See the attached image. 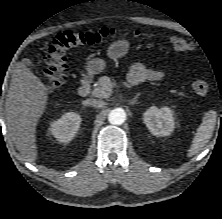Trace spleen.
I'll list each match as a JSON object with an SVG mask.
<instances>
[{
  "label": "spleen",
  "instance_id": "spleen-1",
  "mask_svg": "<svg viewBox=\"0 0 222 219\" xmlns=\"http://www.w3.org/2000/svg\"><path fill=\"white\" fill-rule=\"evenodd\" d=\"M217 119V113L215 111H208L205 113L202 123L197 129V132L193 138L192 145L188 150V157H192L202 149L212 137L215 129Z\"/></svg>",
  "mask_w": 222,
  "mask_h": 219
}]
</instances>
